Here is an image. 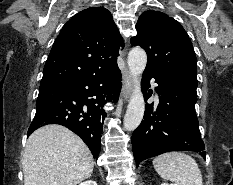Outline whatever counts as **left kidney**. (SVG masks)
Masks as SVG:
<instances>
[{"mask_svg":"<svg viewBox=\"0 0 233 185\" xmlns=\"http://www.w3.org/2000/svg\"><path fill=\"white\" fill-rule=\"evenodd\" d=\"M161 185H175V184H168V183H163Z\"/></svg>","mask_w":233,"mask_h":185,"instance_id":"5707ae66","label":"left kidney"}]
</instances>
